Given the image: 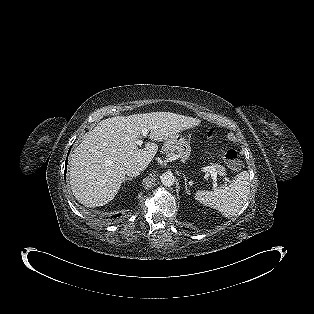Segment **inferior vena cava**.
<instances>
[{
    "mask_svg": "<svg viewBox=\"0 0 314 314\" xmlns=\"http://www.w3.org/2000/svg\"><path fill=\"white\" fill-rule=\"evenodd\" d=\"M144 169H145L144 166H142L140 164L133 163V164H130L129 166L126 167L125 174L130 176V177H136Z\"/></svg>",
    "mask_w": 314,
    "mask_h": 314,
    "instance_id": "602c4592",
    "label": "inferior vena cava"
}]
</instances>
